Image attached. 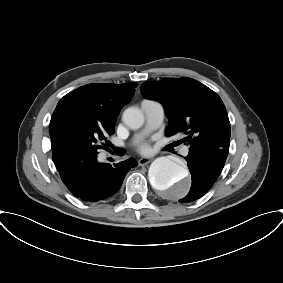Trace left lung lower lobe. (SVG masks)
<instances>
[{"instance_id":"0a47b994","label":"left lung lower lobe","mask_w":283,"mask_h":283,"mask_svg":"<svg viewBox=\"0 0 283 283\" xmlns=\"http://www.w3.org/2000/svg\"><path fill=\"white\" fill-rule=\"evenodd\" d=\"M185 159L192 176V185L187 196L181 199L180 202H191L208 192L217 180L222 168L209 166L198 157L190 154Z\"/></svg>"}]
</instances>
